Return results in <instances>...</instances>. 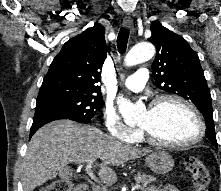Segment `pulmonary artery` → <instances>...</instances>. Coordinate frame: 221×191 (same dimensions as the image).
I'll return each instance as SVG.
<instances>
[{"instance_id": "e3ab8cb5", "label": "pulmonary artery", "mask_w": 221, "mask_h": 191, "mask_svg": "<svg viewBox=\"0 0 221 191\" xmlns=\"http://www.w3.org/2000/svg\"><path fill=\"white\" fill-rule=\"evenodd\" d=\"M148 80V70L139 68L132 76L124 82V87L133 92H139L144 89Z\"/></svg>"}]
</instances>
